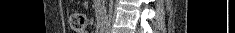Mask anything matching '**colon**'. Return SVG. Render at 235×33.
I'll return each instance as SVG.
<instances>
[{
	"mask_svg": "<svg viewBox=\"0 0 235 33\" xmlns=\"http://www.w3.org/2000/svg\"><path fill=\"white\" fill-rule=\"evenodd\" d=\"M69 25L73 33L87 32L88 21L84 14L73 13L69 18Z\"/></svg>",
	"mask_w": 235,
	"mask_h": 33,
	"instance_id": "1",
	"label": "colon"
}]
</instances>
